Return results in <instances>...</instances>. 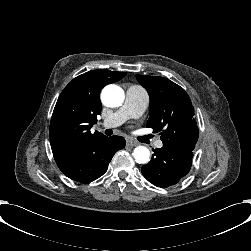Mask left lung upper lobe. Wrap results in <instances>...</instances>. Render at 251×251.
Returning a JSON list of instances; mask_svg holds the SVG:
<instances>
[{
	"label": "left lung upper lobe",
	"instance_id": "left-lung-upper-lobe-1",
	"mask_svg": "<svg viewBox=\"0 0 251 251\" xmlns=\"http://www.w3.org/2000/svg\"><path fill=\"white\" fill-rule=\"evenodd\" d=\"M150 97L147 127L160 132L163 147L193 151L199 131L186 91L167 78L136 75Z\"/></svg>",
	"mask_w": 251,
	"mask_h": 251
}]
</instances>
